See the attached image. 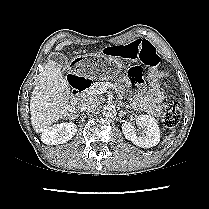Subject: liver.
Instances as JSON below:
<instances>
[{
    "label": "liver",
    "mask_w": 209,
    "mask_h": 209,
    "mask_svg": "<svg viewBox=\"0 0 209 209\" xmlns=\"http://www.w3.org/2000/svg\"><path fill=\"white\" fill-rule=\"evenodd\" d=\"M72 42L58 44L56 51L63 50ZM70 85L63 77L58 64L49 59L31 96L30 112L33 129L41 133L58 120L67 118L75 109L70 105Z\"/></svg>",
    "instance_id": "6515ba94"
}]
</instances>
